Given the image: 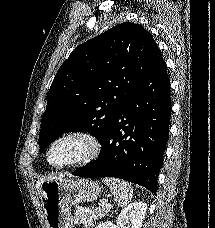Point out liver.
<instances>
[{"instance_id":"liver-1","label":"liver","mask_w":215,"mask_h":228,"mask_svg":"<svg viewBox=\"0 0 215 228\" xmlns=\"http://www.w3.org/2000/svg\"><path fill=\"white\" fill-rule=\"evenodd\" d=\"M60 178H65V176H60ZM48 178H42V180H38L36 184L37 192L41 194L42 192V184L43 182H47ZM51 180H59V178H51Z\"/></svg>"}]
</instances>
